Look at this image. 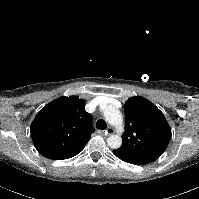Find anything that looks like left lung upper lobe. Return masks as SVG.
Instances as JSON below:
<instances>
[{"label":"left lung upper lobe","instance_id":"1","mask_svg":"<svg viewBox=\"0 0 199 199\" xmlns=\"http://www.w3.org/2000/svg\"><path fill=\"white\" fill-rule=\"evenodd\" d=\"M125 132L117 152L150 163L165 151L171 128L164 114L143 97H131L124 105Z\"/></svg>","mask_w":199,"mask_h":199}]
</instances>
